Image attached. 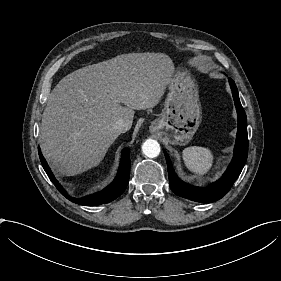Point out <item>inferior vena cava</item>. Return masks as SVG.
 <instances>
[{
	"label": "inferior vena cava",
	"mask_w": 281,
	"mask_h": 281,
	"mask_svg": "<svg viewBox=\"0 0 281 281\" xmlns=\"http://www.w3.org/2000/svg\"><path fill=\"white\" fill-rule=\"evenodd\" d=\"M113 128L119 133H125L131 128V124L123 119H119L113 124Z\"/></svg>",
	"instance_id": "602c4592"
}]
</instances>
